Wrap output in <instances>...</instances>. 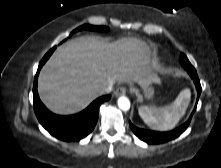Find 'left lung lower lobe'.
<instances>
[{
  "label": "left lung lower lobe",
  "instance_id": "left-lung-lower-lobe-1",
  "mask_svg": "<svg viewBox=\"0 0 221 168\" xmlns=\"http://www.w3.org/2000/svg\"><path fill=\"white\" fill-rule=\"evenodd\" d=\"M189 75L191 76V78L193 79L195 86L197 88V101H196V105L195 108L191 114V116L189 117V119L182 124L180 127L172 130V131H168V132H157V131H150V130H145V129H140L135 127L130 121H129V125L132 129V131L134 132V134L141 139L142 141L148 143V144H161V143H165L168 141H171L175 138H177L178 136H180L189 126L192 115L194 114L196 107H197V103H198V99L201 93V85H200V81L199 78L197 76V72H191L189 73Z\"/></svg>",
  "mask_w": 221,
  "mask_h": 168
}]
</instances>
